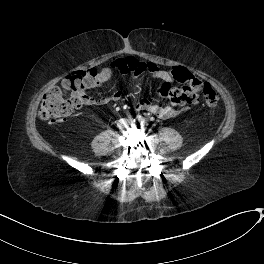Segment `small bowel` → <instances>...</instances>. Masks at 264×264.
I'll use <instances>...</instances> for the list:
<instances>
[{
    "label": "small bowel",
    "instance_id": "small-bowel-1",
    "mask_svg": "<svg viewBox=\"0 0 264 264\" xmlns=\"http://www.w3.org/2000/svg\"><path fill=\"white\" fill-rule=\"evenodd\" d=\"M121 63V64H120ZM112 66L117 67L116 70L121 72L122 74H131L133 78H137L143 70H148L151 73V76L154 80L164 81L166 83H173L174 78L170 71L161 70L155 63L153 62H144L138 60L134 57H125L118 59L111 64ZM107 82L106 76H99L94 79H86V85L90 87H103ZM123 97L122 90H115L111 94L100 97H92L85 96L84 103L90 106H104L111 102H116L121 100ZM197 102V99L193 102ZM134 108L137 111H148L151 114L162 118L168 119L176 115L177 110L171 105H157L152 103L146 98L139 99L135 102Z\"/></svg>",
    "mask_w": 264,
    "mask_h": 264
}]
</instances>
